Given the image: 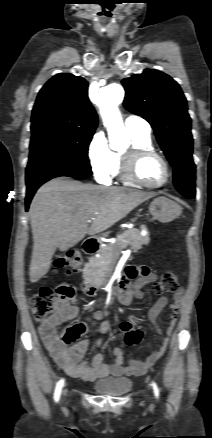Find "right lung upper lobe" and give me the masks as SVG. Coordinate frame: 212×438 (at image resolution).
<instances>
[{
    "label": "right lung upper lobe",
    "mask_w": 212,
    "mask_h": 438,
    "mask_svg": "<svg viewBox=\"0 0 212 438\" xmlns=\"http://www.w3.org/2000/svg\"><path fill=\"white\" fill-rule=\"evenodd\" d=\"M88 83L80 77L61 73L40 90L32 111L31 130L61 128L94 132L98 118L87 95Z\"/></svg>",
    "instance_id": "obj_1"
}]
</instances>
